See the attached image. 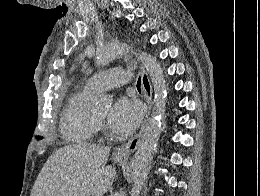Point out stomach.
Instances as JSON below:
<instances>
[{
	"instance_id": "0dacf381",
	"label": "stomach",
	"mask_w": 260,
	"mask_h": 196,
	"mask_svg": "<svg viewBox=\"0 0 260 196\" xmlns=\"http://www.w3.org/2000/svg\"><path fill=\"white\" fill-rule=\"evenodd\" d=\"M114 160V158H113ZM114 162H118V164H123V162H126V160H114Z\"/></svg>"
}]
</instances>
